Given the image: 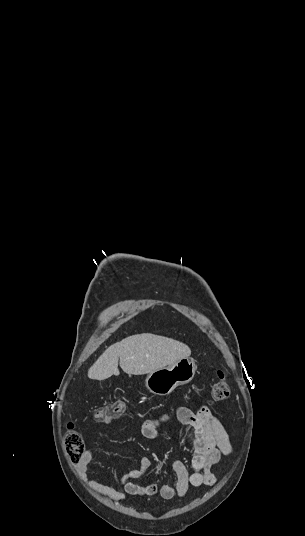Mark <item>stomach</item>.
<instances>
[{"mask_svg":"<svg viewBox=\"0 0 305 536\" xmlns=\"http://www.w3.org/2000/svg\"><path fill=\"white\" fill-rule=\"evenodd\" d=\"M196 372V364L193 358H182L168 368H160L148 374L145 386L149 392L156 396H167L171 394L177 386L189 384L193 380Z\"/></svg>","mask_w":305,"mask_h":536,"instance_id":"stomach-1","label":"stomach"}]
</instances>
